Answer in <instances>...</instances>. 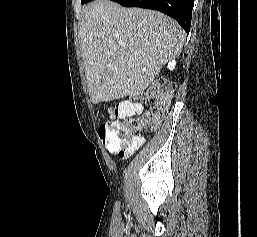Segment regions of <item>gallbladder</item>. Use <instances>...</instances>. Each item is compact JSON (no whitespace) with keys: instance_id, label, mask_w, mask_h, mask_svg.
I'll use <instances>...</instances> for the list:
<instances>
[{"instance_id":"bac80fb5","label":"gallbladder","mask_w":257,"mask_h":237,"mask_svg":"<svg viewBox=\"0 0 257 237\" xmlns=\"http://www.w3.org/2000/svg\"><path fill=\"white\" fill-rule=\"evenodd\" d=\"M103 83V79L101 78L100 80H99V85H101Z\"/></svg>"}]
</instances>
